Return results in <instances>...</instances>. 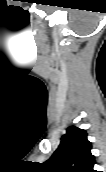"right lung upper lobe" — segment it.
<instances>
[{
  "label": "right lung upper lobe",
  "mask_w": 106,
  "mask_h": 172,
  "mask_svg": "<svg viewBox=\"0 0 106 172\" xmlns=\"http://www.w3.org/2000/svg\"><path fill=\"white\" fill-rule=\"evenodd\" d=\"M91 148L87 132L70 126L44 167L49 172H94L95 157L91 154Z\"/></svg>",
  "instance_id": "1"
}]
</instances>
